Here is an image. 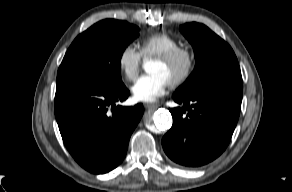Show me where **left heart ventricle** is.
<instances>
[{
  "mask_svg": "<svg viewBox=\"0 0 292 192\" xmlns=\"http://www.w3.org/2000/svg\"><path fill=\"white\" fill-rule=\"evenodd\" d=\"M182 69V62H178L175 64H166L157 59H154L148 65L149 73H159L163 75L167 81L169 82L172 78H174Z\"/></svg>",
  "mask_w": 292,
  "mask_h": 192,
  "instance_id": "left-heart-ventricle-1",
  "label": "left heart ventricle"
}]
</instances>
